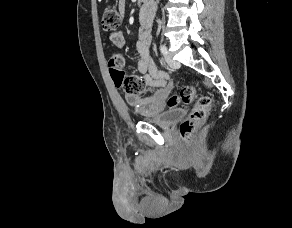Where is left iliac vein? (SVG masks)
Listing matches in <instances>:
<instances>
[{
	"mask_svg": "<svg viewBox=\"0 0 292 228\" xmlns=\"http://www.w3.org/2000/svg\"><path fill=\"white\" fill-rule=\"evenodd\" d=\"M165 60L167 62V64L173 68V69H177L180 67V63L176 60H174L170 55L166 54L165 55Z\"/></svg>",
	"mask_w": 292,
	"mask_h": 228,
	"instance_id": "left-iliac-vein-1",
	"label": "left iliac vein"
}]
</instances>
